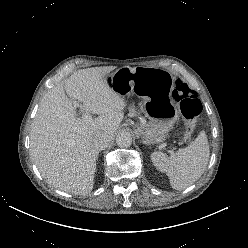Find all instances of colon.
<instances>
[{
    "mask_svg": "<svg viewBox=\"0 0 248 248\" xmlns=\"http://www.w3.org/2000/svg\"><path fill=\"white\" fill-rule=\"evenodd\" d=\"M173 97L179 102L182 115L187 121L184 141L189 142L194 133L196 119L202 109L201 102L197 98L196 92L180 79L176 81Z\"/></svg>",
    "mask_w": 248,
    "mask_h": 248,
    "instance_id": "colon-1",
    "label": "colon"
}]
</instances>
